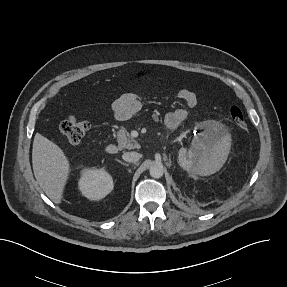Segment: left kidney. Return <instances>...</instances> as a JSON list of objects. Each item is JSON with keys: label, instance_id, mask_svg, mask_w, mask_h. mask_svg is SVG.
<instances>
[{"label": "left kidney", "instance_id": "obj_1", "mask_svg": "<svg viewBox=\"0 0 287 287\" xmlns=\"http://www.w3.org/2000/svg\"><path fill=\"white\" fill-rule=\"evenodd\" d=\"M204 132L195 137L193 147L179 150V164L189 173L209 176L219 171L226 162L231 138L217 124H206Z\"/></svg>", "mask_w": 287, "mask_h": 287}]
</instances>
